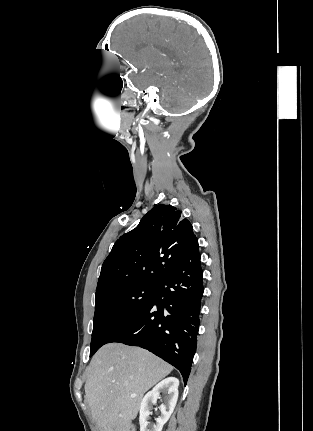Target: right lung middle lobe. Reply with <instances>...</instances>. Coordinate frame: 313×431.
<instances>
[{
    "instance_id": "right-lung-middle-lobe-1",
    "label": "right lung middle lobe",
    "mask_w": 313,
    "mask_h": 431,
    "mask_svg": "<svg viewBox=\"0 0 313 431\" xmlns=\"http://www.w3.org/2000/svg\"><path fill=\"white\" fill-rule=\"evenodd\" d=\"M157 285H139L100 297L95 303L90 357L149 300Z\"/></svg>"
}]
</instances>
